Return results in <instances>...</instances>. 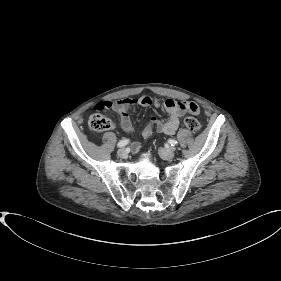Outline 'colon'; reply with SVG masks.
<instances>
[{"label": "colon", "mask_w": 281, "mask_h": 281, "mask_svg": "<svg viewBox=\"0 0 281 281\" xmlns=\"http://www.w3.org/2000/svg\"><path fill=\"white\" fill-rule=\"evenodd\" d=\"M188 108L192 113H198L199 107L197 104L191 102L188 104ZM184 125L193 134L200 131V123L193 116H187L184 118ZM89 126L95 131H105L112 127L111 120L104 114L97 112L91 115L89 119Z\"/></svg>", "instance_id": "5ec220e1"}]
</instances>
